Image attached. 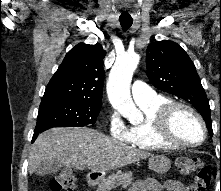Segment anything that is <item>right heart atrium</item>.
Masks as SVG:
<instances>
[{"mask_svg": "<svg viewBox=\"0 0 221 191\" xmlns=\"http://www.w3.org/2000/svg\"><path fill=\"white\" fill-rule=\"evenodd\" d=\"M107 125L112 137L119 140H126L128 136V127L124 124L119 114L111 110L107 115Z\"/></svg>", "mask_w": 221, "mask_h": 191, "instance_id": "1", "label": "right heart atrium"}]
</instances>
